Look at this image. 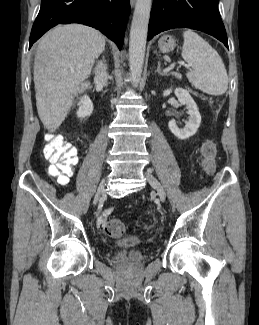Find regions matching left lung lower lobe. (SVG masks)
Listing matches in <instances>:
<instances>
[{
    "label": "left lung lower lobe",
    "mask_w": 259,
    "mask_h": 325,
    "mask_svg": "<svg viewBox=\"0 0 259 325\" xmlns=\"http://www.w3.org/2000/svg\"><path fill=\"white\" fill-rule=\"evenodd\" d=\"M218 3L219 0H154L148 40L168 29L190 28L214 36L228 48Z\"/></svg>",
    "instance_id": "left-lung-lower-lobe-1"
}]
</instances>
